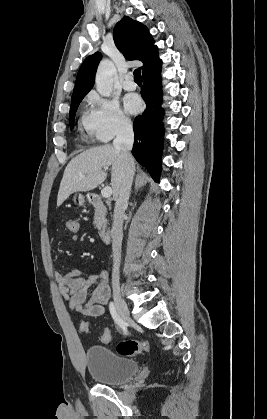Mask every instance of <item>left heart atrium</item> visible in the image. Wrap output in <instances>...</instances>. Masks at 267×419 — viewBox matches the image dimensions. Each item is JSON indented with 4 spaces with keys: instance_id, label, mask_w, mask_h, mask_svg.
<instances>
[{
    "instance_id": "obj_1",
    "label": "left heart atrium",
    "mask_w": 267,
    "mask_h": 419,
    "mask_svg": "<svg viewBox=\"0 0 267 419\" xmlns=\"http://www.w3.org/2000/svg\"><path fill=\"white\" fill-rule=\"evenodd\" d=\"M124 106L129 113L136 114L142 108V101L138 95L128 94L124 97Z\"/></svg>"
}]
</instances>
